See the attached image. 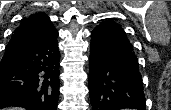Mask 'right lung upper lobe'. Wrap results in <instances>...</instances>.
I'll return each instance as SVG.
<instances>
[{"label":"right lung upper lobe","instance_id":"obj_1","mask_svg":"<svg viewBox=\"0 0 171 110\" xmlns=\"http://www.w3.org/2000/svg\"><path fill=\"white\" fill-rule=\"evenodd\" d=\"M56 32L57 30L44 12L24 18L7 44L4 57L18 56L20 52L48 40Z\"/></svg>","mask_w":171,"mask_h":110}]
</instances>
